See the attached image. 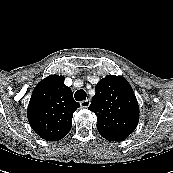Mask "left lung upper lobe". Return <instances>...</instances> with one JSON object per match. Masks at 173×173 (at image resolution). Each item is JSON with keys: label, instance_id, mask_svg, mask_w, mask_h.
Here are the masks:
<instances>
[{"label": "left lung upper lobe", "instance_id": "obj_1", "mask_svg": "<svg viewBox=\"0 0 173 173\" xmlns=\"http://www.w3.org/2000/svg\"><path fill=\"white\" fill-rule=\"evenodd\" d=\"M89 110L97 116V129L109 141L125 140L137 127L139 106L128 81L107 75L95 86Z\"/></svg>", "mask_w": 173, "mask_h": 173}]
</instances>
